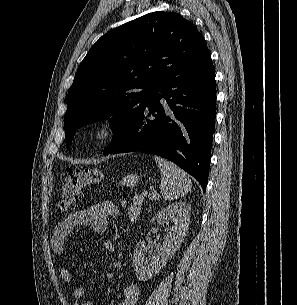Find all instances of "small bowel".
I'll return each mask as SVG.
<instances>
[{
	"label": "small bowel",
	"mask_w": 297,
	"mask_h": 305,
	"mask_svg": "<svg viewBox=\"0 0 297 305\" xmlns=\"http://www.w3.org/2000/svg\"><path fill=\"white\" fill-rule=\"evenodd\" d=\"M118 216L119 210L111 202L92 204L84 210L69 214L56 225L51 235V245L54 252L59 255L66 252L67 243L76 227L88 226L96 232L103 233L108 228L109 220ZM103 248L109 254H114L116 249L115 245L108 240L103 242ZM60 276L65 283H72V275L66 266L60 267ZM73 295L76 299H82L85 295V289L81 286L75 287ZM139 295V286L135 283L128 284L124 287L122 298L117 305H136ZM81 305L92 304L83 302Z\"/></svg>",
	"instance_id": "small-bowel-1"
}]
</instances>
